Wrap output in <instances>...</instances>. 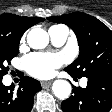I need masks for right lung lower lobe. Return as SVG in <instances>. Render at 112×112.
Returning a JSON list of instances; mask_svg holds the SVG:
<instances>
[{"label":"right lung lower lobe","instance_id":"1","mask_svg":"<svg viewBox=\"0 0 112 112\" xmlns=\"http://www.w3.org/2000/svg\"><path fill=\"white\" fill-rule=\"evenodd\" d=\"M20 87H6L0 79V112H30L34 103V95L40 91V82L25 76L21 78Z\"/></svg>","mask_w":112,"mask_h":112}]
</instances>
